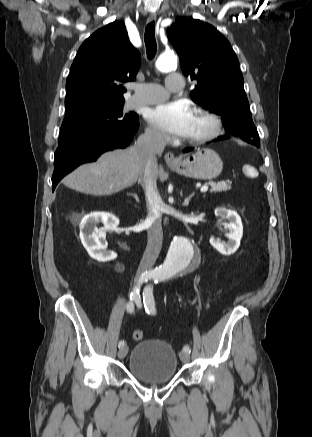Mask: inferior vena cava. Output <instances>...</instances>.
<instances>
[{"label": "inferior vena cava", "mask_w": 312, "mask_h": 437, "mask_svg": "<svg viewBox=\"0 0 312 437\" xmlns=\"http://www.w3.org/2000/svg\"><path fill=\"white\" fill-rule=\"evenodd\" d=\"M165 135L156 130L148 129L137 140V150L144 161V170L139 181L144 189L148 211L147 223L149 225L148 242L140 261L138 271L144 272L153 267L162 248V199L156 184L157 154L165 148Z\"/></svg>", "instance_id": "602c4592"}]
</instances>
